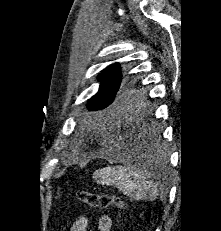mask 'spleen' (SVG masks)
Wrapping results in <instances>:
<instances>
[{
	"instance_id": "3e777b00",
	"label": "spleen",
	"mask_w": 221,
	"mask_h": 231,
	"mask_svg": "<svg viewBox=\"0 0 221 231\" xmlns=\"http://www.w3.org/2000/svg\"><path fill=\"white\" fill-rule=\"evenodd\" d=\"M94 178L101 184L115 186L135 200H155L159 195L157 185L150 176L127 162L100 169L94 173Z\"/></svg>"
}]
</instances>
